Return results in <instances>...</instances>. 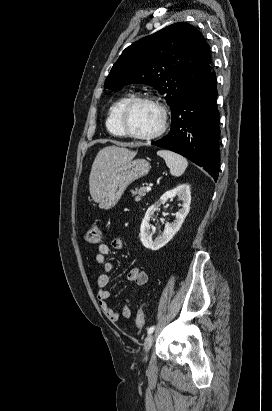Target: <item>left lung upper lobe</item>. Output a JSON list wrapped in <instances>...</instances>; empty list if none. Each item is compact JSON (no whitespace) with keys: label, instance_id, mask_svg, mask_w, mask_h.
Listing matches in <instances>:
<instances>
[{"label":"left lung upper lobe","instance_id":"5c2ea615","mask_svg":"<svg viewBox=\"0 0 272 411\" xmlns=\"http://www.w3.org/2000/svg\"><path fill=\"white\" fill-rule=\"evenodd\" d=\"M210 47L187 23L172 24L127 47L113 65L104 87L118 91L143 83L165 94L174 113L183 98L211 72Z\"/></svg>","mask_w":272,"mask_h":411}]
</instances>
